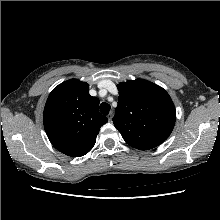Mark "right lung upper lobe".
Masks as SVG:
<instances>
[{"instance_id":"1","label":"right lung upper lobe","mask_w":220,"mask_h":220,"mask_svg":"<svg viewBox=\"0 0 220 220\" xmlns=\"http://www.w3.org/2000/svg\"><path fill=\"white\" fill-rule=\"evenodd\" d=\"M98 107V98L90 96L85 82L70 79L55 87L43 113L52 145L71 157L87 154L95 145L100 127L108 122Z\"/></svg>"}]
</instances>
